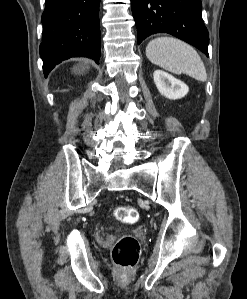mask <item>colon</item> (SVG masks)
<instances>
[{"mask_svg": "<svg viewBox=\"0 0 247 299\" xmlns=\"http://www.w3.org/2000/svg\"><path fill=\"white\" fill-rule=\"evenodd\" d=\"M114 215L119 222L125 224H133L138 220L137 210L129 205L118 206L114 211ZM139 254V242L130 235L120 237L112 249L114 263L124 270L132 268L137 263Z\"/></svg>", "mask_w": 247, "mask_h": 299, "instance_id": "5ec220e1", "label": "colon"}]
</instances>
